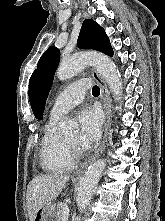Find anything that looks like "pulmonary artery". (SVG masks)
Instances as JSON below:
<instances>
[{
    "mask_svg": "<svg viewBox=\"0 0 165 221\" xmlns=\"http://www.w3.org/2000/svg\"><path fill=\"white\" fill-rule=\"evenodd\" d=\"M90 87L88 79H80L68 85L54 100L50 110L51 118H60L84 100L86 90Z\"/></svg>",
    "mask_w": 165,
    "mask_h": 221,
    "instance_id": "pulmonary-artery-1",
    "label": "pulmonary artery"
}]
</instances>
